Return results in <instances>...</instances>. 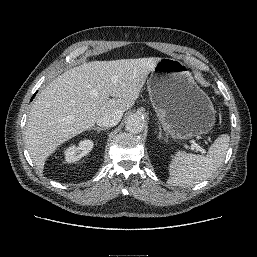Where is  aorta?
<instances>
[{"instance_id":"aorta-1","label":"aorta","mask_w":257,"mask_h":257,"mask_svg":"<svg viewBox=\"0 0 257 257\" xmlns=\"http://www.w3.org/2000/svg\"><path fill=\"white\" fill-rule=\"evenodd\" d=\"M145 126L144 118L139 114H131L126 118L125 127L131 133H140Z\"/></svg>"}]
</instances>
